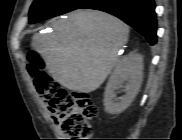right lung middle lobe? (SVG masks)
I'll return each mask as SVG.
<instances>
[{
    "label": "right lung middle lobe",
    "instance_id": "1",
    "mask_svg": "<svg viewBox=\"0 0 182 140\" xmlns=\"http://www.w3.org/2000/svg\"><path fill=\"white\" fill-rule=\"evenodd\" d=\"M88 0H35L29 12L31 24L78 9Z\"/></svg>",
    "mask_w": 182,
    "mask_h": 140
}]
</instances>
